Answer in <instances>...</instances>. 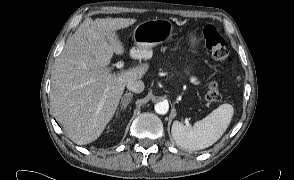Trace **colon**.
I'll return each mask as SVG.
<instances>
[{"label":"colon","mask_w":294,"mask_h":180,"mask_svg":"<svg viewBox=\"0 0 294 180\" xmlns=\"http://www.w3.org/2000/svg\"><path fill=\"white\" fill-rule=\"evenodd\" d=\"M206 46L212 56L219 61H231V56L224 45L220 34L213 26H205L202 31ZM205 98L209 102L217 101L219 98V87L216 81H211L207 86Z\"/></svg>","instance_id":"colon-1"}]
</instances>
